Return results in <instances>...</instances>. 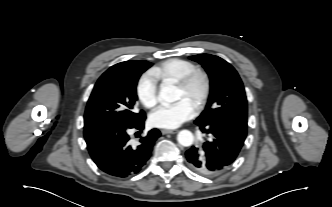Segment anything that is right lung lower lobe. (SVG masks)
<instances>
[{"label":"right lung lower lobe","instance_id":"right-lung-lower-lobe-1","mask_svg":"<svg viewBox=\"0 0 332 207\" xmlns=\"http://www.w3.org/2000/svg\"><path fill=\"white\" fill-rule=\"evenodd\" d=\"M145 118L144 116L129 125H100L84 130L88 151L102 171L124 178L142 170L161 133L157 129H152L140 138L138 145H131L127 130H143Z\"/></svg>","mask_w":332,"mask_h":207}]
</instances>
